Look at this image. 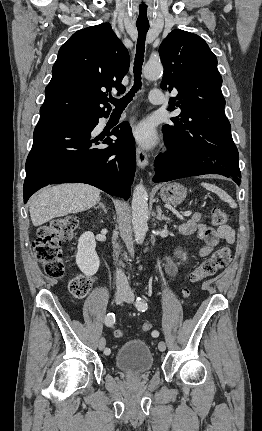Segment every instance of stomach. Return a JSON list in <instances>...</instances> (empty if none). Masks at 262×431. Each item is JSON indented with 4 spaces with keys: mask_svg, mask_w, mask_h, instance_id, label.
<instances>
[{
    "mask_svg": "<svg viewBox=\"0 0 262 431\" xmlns=\"http://www.w3.org/2000/svg\"><path fill=\"white\" fill-rule=\"evenodd\" d=\"M187 191L179 183H168L165 184L160 190L161 199L165 203L180 204L186 198Z\"/></svg>",
    "mask_w": 262,
    "mask_h": 431,
    "instance_id": "obj_1",
    "label": "stomach"
}]
</instances>
